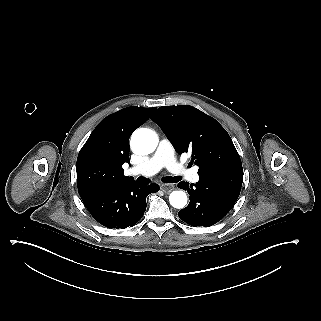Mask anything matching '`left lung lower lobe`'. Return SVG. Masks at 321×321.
Wrapping results in <instances>:
<instances>
[{
  "label": "left lung lower lobe",
  "instance_id": "1",
  "mask_svg": "<svg viewBox=\"0 0 321 321\" xmlns=\"http://www.w3.org/2000/svg\"><path fill=\"white\" fill-rule=\"evenodd\" d=\"M243 182V168H223L199 175L196 184L181 181L178 187L190 195L189 205L178 212L191 226L209 227L234 206Z\"/></svg>",
  "mask_w": 321,
  "mask_h": 321
}]
</instances>
